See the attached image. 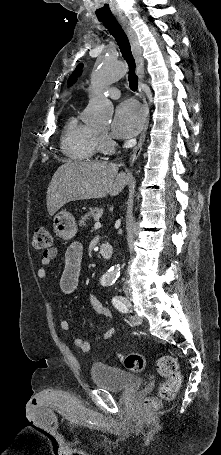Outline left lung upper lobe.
<instances>
[{
	"label": "left lung upper lobe",
	"mask_w": 221,
	"mask_h": 455,
	"mask_svg": "<svg viewBox=\"0 0 221 455\" xmlns=\"http://www.w3.org/2000/svg\"><path fill=\"white\" fill-rule=\"evenodd\" d=\"M83 65L79 64L68 80V84L74 83L77 76L80 75Z\"/></svg>",
	"instance_id": "obj_1"
}]
</instances>
